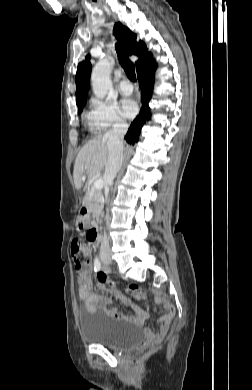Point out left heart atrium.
<instances>
[{"mask_svg": "<svg viewBox=\"0 0 252 390\" xmlns=\"http://www.w3.org/2000/svg\"><path fill=\"white\" fill-rule=\"evenodd\" d=\"M122 109L127 117H134L138 111L137 104L131 99H124L122 101Z\"/></svg>", "mask_w": 252, "mask_h": 390, "instance_id": "39dd6f15", "label": "left heart atrium"}]
</instances>
